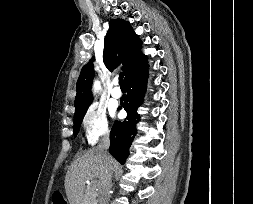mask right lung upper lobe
<instances>
[{"mask_svg": "<svg viewBox=\"0 0 253 204\" xmlns=\"http://www.w3.org/2000/svg\"><path fill=\"white\" fill-rule=\"evenodd\" d=\"M142 42L130 26L121 19H111L104 40L103 61L113 71L122 64L126 76L137 66L144 55L140 52ZM92 58L81 70L76 84L75 115L89 107L92 102L91 85L94 77Z\"/></svg>", "mask_w": 253, "mask_h": 204, "instance_id": "obj_1", "label": "right lung upper lobe"}]
</instances>
